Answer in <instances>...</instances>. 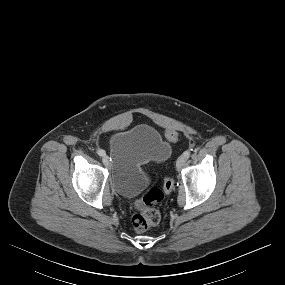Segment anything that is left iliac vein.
<instances>
[{"label": "left iliac vein", "instance_id": "obj_1", "mask_svg": "<svg viewBox=\"0 0 285 285\" xmlns=\"http://www.w3.org/2000/svg\"><path fill=\"white\" fill-rule=\"evenodd\" d=\"M186 161V158L182 155L180 156L176 161V168L179 170L183 167L184 163Z\"/></svg>", "mask_w": 285, "mask_h": 285}]
</instances>
